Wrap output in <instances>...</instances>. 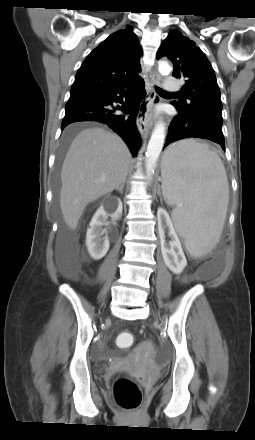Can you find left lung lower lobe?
Returning <instances> with one entry per match:
<instances>
[{"mask_svg": "<svg viewBox=\"0 0 255 440\" xmlns=\"http://www.w3.org/2000/svg\"><path fill=\"white\" fill-rule=\"evenodd\" d=\"M222 120L205 114H185L178 111L170 125L164 148L175 141L184 138H203L221 145L225 151V141L222 132Z\"/></svg>", "mask_w": 255, "mask_h": 440, "instance_id": "1", "label": "left lung lower lobe"}]
</instances>
